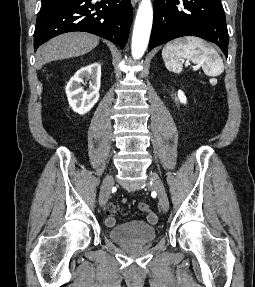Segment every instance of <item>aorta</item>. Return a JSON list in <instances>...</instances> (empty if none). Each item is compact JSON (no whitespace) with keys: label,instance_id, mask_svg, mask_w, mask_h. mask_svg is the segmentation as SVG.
<instances>
[{"label":"aorta","instance_id":"aorta-1","mask_svg":"<svg viewBox=\"0 0 255 287\" xmlns=\"http://www.w3.org/2000/svg\"><path fill=\"white\" fill-rule=\"evenodd\" d=\"M153 21V10L150 0H142L139 5L133 36H132V56L139 59L143 56L150 37Z\"/></svg>","mask_w":255,"mask_h":287}]
</instances>
